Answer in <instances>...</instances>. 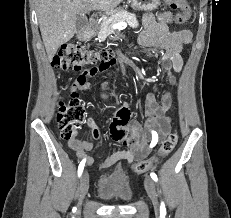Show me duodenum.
<instances>
[{"label":"duodenum","instance_id":"duodenum-1","mask_svg":"<svg viewBox=\"0 0 231 218\" xmlns=\"http://www.w3.org/2000/svg\"><path fill=\"white\" fill-rule=\"evenodd\" d=\"M94 27L95 26H94L93 22L87 23L86 26H85V28H84V30L80 34L81 38L86 39V38L90 37L91 34L94 31Z\"/></svg>","mask_w":231,"mask_h":218}]
</instances>
